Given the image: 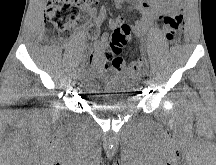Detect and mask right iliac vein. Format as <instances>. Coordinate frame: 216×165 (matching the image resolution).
Instances as JSON below:
<instances>
[{
  "label": "right iliac vein",
  "mask_w": 216,
  "mask_h": 165,
  "mask_svg": "<svg viewBox=\"0 0 216 165\" xmlns=\"http://www.w3.org/2000/svg\"><path fill=\"white\" fill-rule=\"evenodd\" d=\"M83 74H84V69L82 68V69L79 70L78 76L81 77V76H83Z\"/></svg>",
  "instance_id": "1"
}]
</instances>
